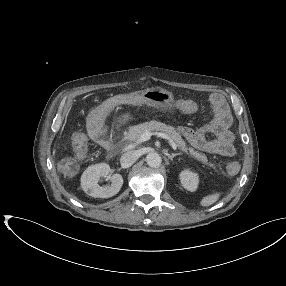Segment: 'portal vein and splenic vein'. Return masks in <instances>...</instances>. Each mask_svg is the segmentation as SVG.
Wrapping results in <instances>:
<instances>
[{"label": "portal vein and splenic vein", "instance_id": "1", "mask_svg": "<svg viewBox=\"0 0 286 286\" xmlns=\"http://www.w3.org/2000/svg\"><path fill=\"white\" fill-rule=\"evenodd\" d=\"M152 135H155L157 137H161V138L167 139L169 144H170V146L174 150L177 149V146L175 145V143L172 141V139L167 134L162 133V132H150V131H145L134 144H130V145L126 146L125 149L134 148V146H136V145H138V144H140L142 142L148 141Z\"/></svg>", "mask_w": 286, "mask_h": 286}]
</instances>
